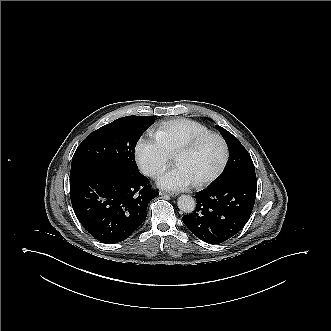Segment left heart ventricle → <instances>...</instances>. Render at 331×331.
<instances>
[{
  "label": "left heart ventricle",
  "instance_id": "b2bd125f",
  "mask_svg": "<svg viewBox=\"0 0 331 331\" xmlns=\"http://www.w3.org/2000/svg\"><path fill=\"white\" fill-rule=\"evenodd\" d=\"M221 159V149L217 140L208 139L185 154L179 165L193 180L210 175Z\"/></svg>",
  "mask_w": 331,
  "mask_h": 331
}]
</instances>
